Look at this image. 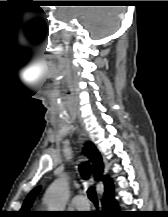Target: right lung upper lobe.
<instances>
[{
  "instance_id": "cb5924a9",
  "label": "right lung upper lobe",
  "mask_w": 168,
  "mask_h": 217,
  "mask_svg": "<svg viewBox=\"0 0 168 217\" xmlns=\"http://www.w3.org/2000/svg\"><path fill=\"white\" fill-rule=\"evenodd\" d=\"M83 152L87 154L88 158L94 164L95 179L97 181L102 180L104 182L105 190H106V193L104 196L109 195L110 193L113 192V184H112V181L110 179H108L107 176L102 175L103 162H102V158H101L100 153L98 152V150L96 149L94 144H92L91 142L86 143ZM39 190H40V186L34 188L26 197V199L23 203V206L20 210L21 217H34L37 215L35 212L29 211V209L32 206L34 199L36 197V194L39 192Z\"/></svg>"
}]
</instances>
